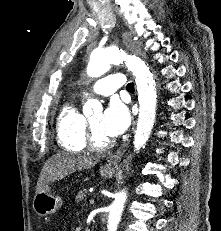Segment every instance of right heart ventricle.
<instances>
[{"mask_svg": "<svg viewBox=\"0 0 221 231\" xmlns=\"http://www.w3.org/2000/svg\"><path fill=\"white\" fill-rule=\"evenodd\" d=\"M59 146L70 152H82L87 148L85 141V117L74 101L61 108L56 121Z\"/></svg>", "mask_w": 221, "mask_h": 231, "instance_id": "right-heart-ventricle-1", "label": "right heart ventricle"}]
</instances>
